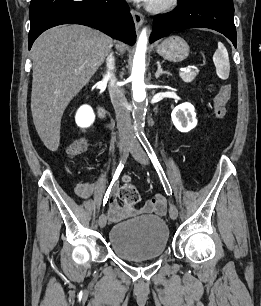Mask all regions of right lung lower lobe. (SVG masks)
Segmentation results:
<instances>
[{
    "label": "right lung lower lobe",
    "instance_id": "right-lung-lower-lobe-1",
    "mask_svg": "<svg viewBox=\"0 0 261 306\" xmlns=\"http://www.w3.org/2000/svg\"><path fill=\"white\" fill-rule=\"evenodd\" d=\"M28 44L45 30L61 24H81L133 45L135 26L125 0H31Z\"/></svg>",
    "mask_w": 261,
    "mask_h": 306
}]
</instances>
